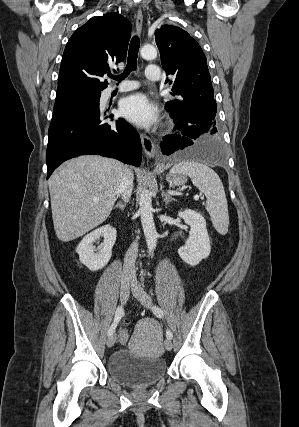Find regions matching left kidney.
Wrapping results in <instances>:
<instances>
[{
  "mask_svg": "<svg viewBox=\"0 0 299 427\" xmlns=\"http://www.w3.org/2000/svg\"><path fill=\"white\" fill-rule=\"evenodd\" d=\"M178 216L191 227L190 238L178 249V254L184 262L196 266L207 258L211 251L206 221L202 214L191 209L179 212Z\"/></svg>",
  "mask_w": 299,
  "mask_h": 427,
  "instance_id": "1",
  "label": "left kidney"
}]
</instances>
